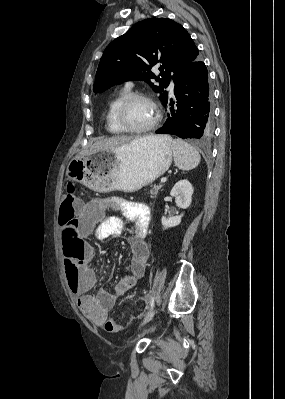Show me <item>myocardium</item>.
I'll return each mask as SVG.
<instances>
[{
	"instance_id": "myocardium-1",
	"label": "myocardium",
	"mask_w": 285,
	"mask_h": 399,
	"mask_svg": "<svg viewBox=\"0 0 285 399\" xmlns=\"http://www.w3.org/2000/svg\"><path fill=\"white\" fill-rule=\"evenodd\" d=\"M136 100H145L148 101L150 104H152V106L155 109V118L153 120L152 123H150L149 125L142 127V128H134L131 127L128 122H127V110L129 108V106ZM161 110L159 105L157 104V102L150 97L147 94H143V93H133L130 94L127 98L124 99V101L120 104L119 108H118V112H117V119L119 122V125L126 131L129 133H135V134H142V133H146L151 131L152 129H154L161 121Z\"/></svg>"
}]
</instances>
